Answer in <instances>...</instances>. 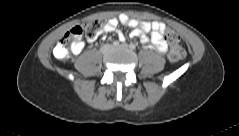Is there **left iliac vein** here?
Wrapping results in <instances>:
<instances>
[{"label":"left iliac vein","mask_w":239,"mask_h":136,"mask_svg":"<svg viewBox=\"0 0 239 136\" xmlns=\"http://www.w3.org/2000/svg\"><path fill=\"white\" fill-rule=\"evenodd\" d=\"M118 46H121L123 48H127V44H121V45H118ZM118 46H115V47H118Z\"/></svg>","instance_id":"1"}]
</instances>
